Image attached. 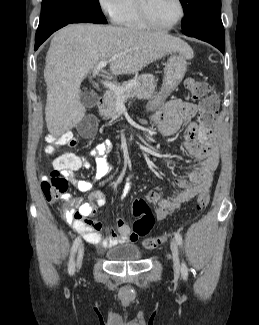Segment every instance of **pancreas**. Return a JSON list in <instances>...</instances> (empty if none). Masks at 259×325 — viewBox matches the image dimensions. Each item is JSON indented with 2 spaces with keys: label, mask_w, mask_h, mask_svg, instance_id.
I'll return each instance as SVG.
<instances>
[{
  "label": "pancreas",
  "mask_w": 259,
  "mask_h": 325,
  "mask_svg": "<svg viewBox=\"0 0 259 325\" xmlns=\"http://www.w3.org/2000/svg\"><path fill=\"white\" fill-rule=\"evenodd\" d=\"M136 84L131 88L125 89L123 92V101L126 102L129 98L138 97L143 99H149L155 92L157 80L152 75L145 74L132 79ZM129 81V82H131ZM129 82L124 83L121 87L125 88ZM118 96L115 92L109 91L105 95L106 106L100 109L99 114L103 119H109L117 113Z\"/></svg>",
  "instance_id": "pancreas-1"
}]
</instances>
